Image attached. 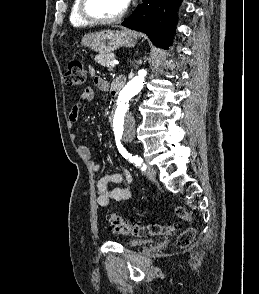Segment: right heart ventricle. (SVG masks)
<instances>
[{"label":"right heart ventricle","mask_w":259,"mask_h":294,"mask_svg":"<svg viewBox=\"0 0 259 294\" xmlns=\"http://www.w3.org/2000/svg\"><path fill=\"white\" fill-rule=\"evenodd\" d=\"M79 0H73L71 11H70V23L72 26L81 28L89 25L79 15L78 12Z\"/></svg>","instance_id":"right-heart-ventricle-1"}]
</instances>
